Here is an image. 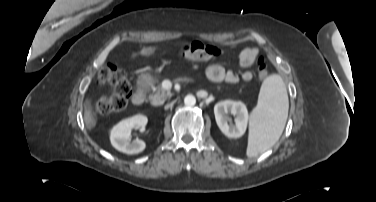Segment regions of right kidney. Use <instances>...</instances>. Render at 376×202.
<instances>
[{
  "mask_svg": "<svg viewBox=\"0 0 376 202\" xmlns=\"http://www.w3.org/2000/svg\"><path fill=\"white\" fill-rule=\"evenodd\" d=\"M147 122L148 119L146 116L137 114L117 123L110 133L112 146L126 154H138L142 152L146 147L145 142L139 139L131 142L130 136L132 129L144 128Z\"/></svg>",
  "mask_w": 376,
  "mask_h": 202,
  "instance_id": "ca27d5eb",
  "label": "right kidney"
}]
</instances>
